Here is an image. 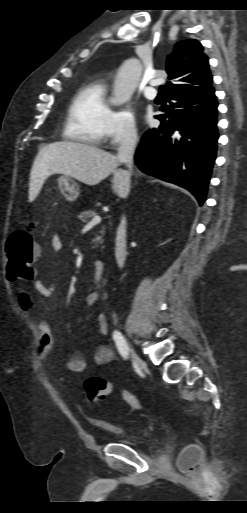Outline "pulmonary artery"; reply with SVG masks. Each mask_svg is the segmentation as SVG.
Returning a JSON list of instances; mask_svg holds the SVG:
<instances>
[{"mask_svg": "<svg viewBox=\"0 0 247 513\" xmlns=\"http://www.w3.org/2000/svg\"><path fill=\"white\" fill-rule=\"evenodd\" d=\"M159 84V80H151L149 86L144 89V95L148 99H155L157 94L154 86Z\"/></svg>", "mask_w": 247, "mask_h": 513, "instance_id": "1", "label": "pulmonary artery"}]
</instances>
